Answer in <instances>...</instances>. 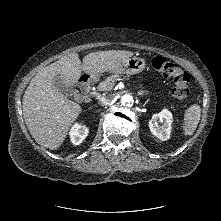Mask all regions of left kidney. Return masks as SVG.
<instances>
[{"label":"left kidney","instance_id":"left-kidney-1","mask_svg":"<svg viewBox=\"0 0 221 221\" xmlns=\"http://www.w3.org/2000/svg\"><path fill=\"white\" fill-rule=\"evenodd\" d=\"M172 114L169 110L163 109L160 113L154 114L149 121V129L151 133L162 141L170 138ZM158 122H162L161 126Z\"/></svg>","mask_w":221,"mask_h":221}]
</instances>
